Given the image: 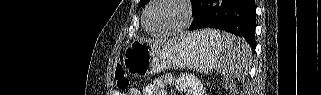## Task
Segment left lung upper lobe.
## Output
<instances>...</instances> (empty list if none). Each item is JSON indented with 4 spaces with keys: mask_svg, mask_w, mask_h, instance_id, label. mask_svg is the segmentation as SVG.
Returning <instances> with one entry per match:
<instances>
[{
    "mask_svg": "<svg viewBox=\"0 0 321 95\" xmlns=\"http://www.w3.org/2000/svg\"><path fill=\"white\" fill-rule=\"evenodd\" d=\"M150 0H140V5L145 6ZM192 1V0H191Z\"/></svg>",
    "mask_w": 321,
    "mask_h": 95,
    "instance_id": "5c2ea615",
    "label": "left lung upper lobe"
}]
</instances>
